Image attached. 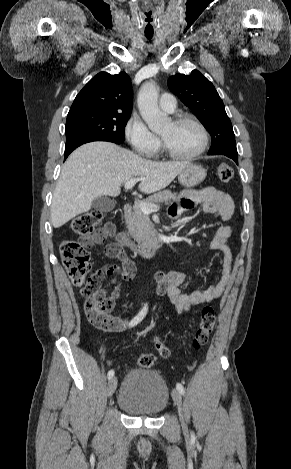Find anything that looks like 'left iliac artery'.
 Listing matches in <instances>:
<instances>
[{
    "mask_svg": "<svg viewBox=\"0 0 291 469\" xmlns=\"http://www.w3.org/2000/svg\"><path fill=\"white\" fill-rule=\"evenodd\" d=\"M176 388H177V390L180 392V394L184 395L185 389H184V387H183V385H182L181 383H177V384H176Z\"/></svg>",
    "mask_w": 291,
    "mask_h": 469,
    "instance_id": "left-iliac-artery-1",
    "label": "left iliac artery"
}]
</instances>
